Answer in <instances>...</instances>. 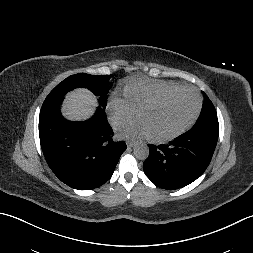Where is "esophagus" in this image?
Returning <instances> with one entry per match:
<instances>
[{"mask_svg":"<svg viewBox=\"0 0 253 253\" xmlns=\"http://www.w3.org/2000/svg\"><path fill=\"white\" fill-rule=\"evenodd\" d=\"M135 145V142L134 141H128L127 142V146L128 147H133Z\"/></svg>","mask_w":253,"mask_h":253,"instance_id":"esophagus-1","label":"esophagus"}]
</instances>
